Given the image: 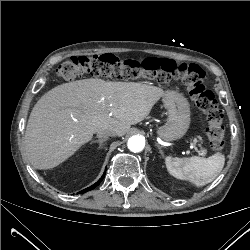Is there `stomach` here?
<instances>
[{
    "mask_svg": "<svg viewBox=\"0 0 250 250\" xmlns=\"http://www.w3.org/2000/svg\"><path fill=\"white\" fill-rule=\"evenodd\" d=\"M163 103L167 109L166 123L157 129V135L165 141H175L182 138L190 125V105L188 100L175 91L163 95Z\"/></svg>",
    "mask_w": 250,
    "mask_h": 250,
    "instance_id": "stomach-1",
    "label": "stomach"
}]
</instances>
